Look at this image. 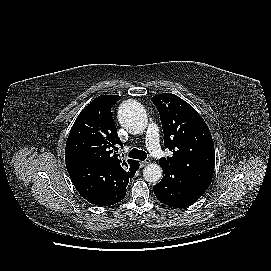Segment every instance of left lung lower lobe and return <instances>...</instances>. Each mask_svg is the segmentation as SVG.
<instances>
[{"mask_svg": "<svg viewBox=\"0 0 271 271\" xmlns=\"http://www.w3.org/2000/svg\"><path fill=\"white\" fill-rule=\"evenodd\" d=\"M206 189L205 186L177 171H163L162 180L153 187L160 202L175 208L192 205Z\"/></svg>", "mask_w": 271, "mask_h": 271, "instance_id": "0a47b994", "label": "left lung lower lobe"}]
</instances>
